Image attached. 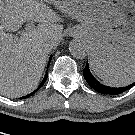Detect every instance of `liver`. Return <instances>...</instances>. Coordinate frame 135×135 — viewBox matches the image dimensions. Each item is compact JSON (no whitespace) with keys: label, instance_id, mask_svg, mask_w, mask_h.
<instances>
[{"label":"liver","instance_id":"obj_1","mask_svg":"<svg viewBox=\"0 0 135 135\" xmlns=\"http://www.w3.org/2000/svg\"><path fill=\"white\" fill-rule=\"evenodd\" d=\"M45 0H0V94L17 98L39 84L48 54L62 38L63 19ZM27 21L38 26L15 36Z\"/></svg>","mask_w":135,"mask_h":135}]
</instances>
